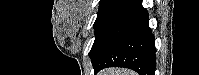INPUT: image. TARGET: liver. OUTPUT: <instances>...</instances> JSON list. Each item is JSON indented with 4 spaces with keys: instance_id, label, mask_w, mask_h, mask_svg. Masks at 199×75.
Wrapping results in <instances>:
<instances>
[{
    "instance_id": "liver-1",
    "label": "liver",
    "mask_w": 199,
    "mask_h": 75,
    "mask_svg": "<svg viewBox=\"0 0 199 75\" xmlns=\"http://www.w3.org/2000/svg\"><path fill=\"white\" fill-rule=\"evenodd\" d=\"M99 75H136V73L128 69L108 68L99 72Z\"/></svg>"
}]
</instances>
